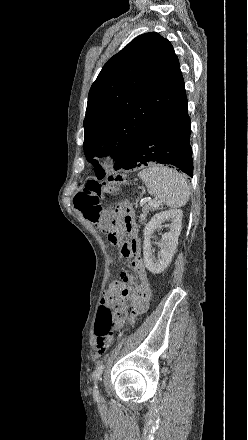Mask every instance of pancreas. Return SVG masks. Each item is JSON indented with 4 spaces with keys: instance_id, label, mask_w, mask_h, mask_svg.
<instances>
[{
    "instance_id": "pancreas-1",
    "label": "pancreas",
    "mask_w": 248,
    "mask_h": 440,
    "mask_svg": "<svg viewBox=\"0 0 248 440\" xmlns=\"http://www.w3.org/2000/svg\"><path fill=\"white\" fill-rule=\"evenodd\" d=\"M157 209H158V206H157V207H154L153 205H150V204H148V205H146L145 207H143V209H142V213H141V215H140V222L143 223V222L146 220L147 214H148L150 211H155V210H157Z\"/></svg>"
}]
</instances>
